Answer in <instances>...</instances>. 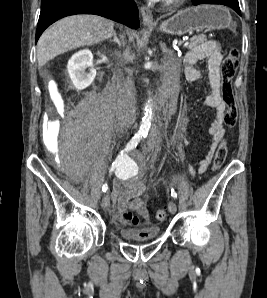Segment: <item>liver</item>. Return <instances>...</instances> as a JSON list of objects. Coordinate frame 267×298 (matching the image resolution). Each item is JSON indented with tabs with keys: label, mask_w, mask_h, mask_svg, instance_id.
<instances>
[{
	"label": "liver",
	"mask_w": 267,
	"mask_h": 298,
	"mask_svg": "<svg viewBox=\"0 0 267 298\" xmlns=\"http://www.w3.org/2000/svg\"><path fill=\"white\" fill-rule=\"evenodd\" d=\"M114 23L95 15L63 18L44 31L37 43V61H48L69 50L98 44L114 34Z\"/></svg>",
	"instance_id": "liver-1"
}]
</instances>
